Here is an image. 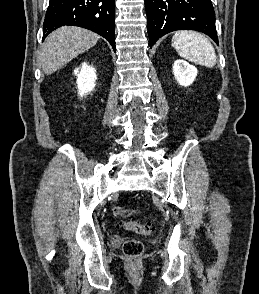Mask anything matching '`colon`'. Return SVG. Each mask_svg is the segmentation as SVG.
Returning a JSON list of instances; mask_svg holds the SVG:
<instances>
[{"mask_svg": "<svg viewBox=\"0 0 259 294\" xmlns=\"http://www.w3.org/2000/svg\"><path fill=\"white\" fill-rule=\"evenodd\" d=\"M112 212L117 217H127L133 215L136 211L131 208L115 206ZM120 227L138 234L149 235L153 232V227L149 223H141L135 220L122 221ZM123 253L130 258H137L144 252V245L140 240L129 239L122 246Z\"/></svg>", "mask_w": 259, "mask_h": 294, "instance_id": "1", "label": "colon"}]
</instances>
